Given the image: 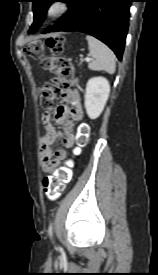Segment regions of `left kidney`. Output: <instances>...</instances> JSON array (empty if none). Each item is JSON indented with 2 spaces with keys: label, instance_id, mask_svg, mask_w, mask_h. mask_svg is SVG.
Wrapping results in <instances>:
<instances>
[{
  "label": "left kidney",
  "instance_id": "left-kidney-1",
  "mask_svg": "<svg viewBox=\"0 0 158 275\" xmlns=\"http://www.w3.org/2000/svg\"><path fill=\"white\" fill-rule=\"evenodd\" d=\"M110 93V84L104 77L88 80L85 92V109L90 119H96L102 113Z\"/></svg>",
  "mask_w": 158,
  "mask_h": 275
}]
</instances>
